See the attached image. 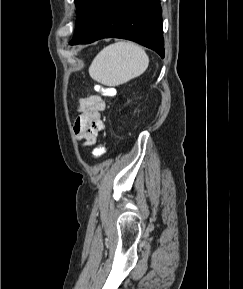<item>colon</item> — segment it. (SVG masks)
I'll list each match as a JSON object with an SVG mask.
<instances>
[{
	"label": "colon",
	"instance_id": "colon-1",
	"mask_svg": "<svg viewBox=\"0 0 243 289\" xmlns=\"http://www.w3.org/2000/svg\"><path fill=\"white\" fill-rule=\"evenodd\" d=\"M98 91H100L104 96H111L113 94V89L108 87L97 86ZM105 154V146L99 145L94 151L93 155L95 158H101Z\"/></svg>",
	"mask_w": 243,
	"mask_h": 289
}]
</instances>
